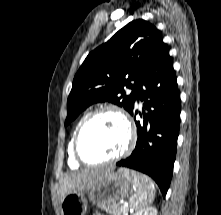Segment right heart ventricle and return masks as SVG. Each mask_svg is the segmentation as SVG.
Listing matches in <instances>:
<instances>
[{
  "label": "right heart ventricle",
  "mask_w": 221,
  "mask_h": 215,
  "mask_svg": "<svg viewBox=\"0 0 221 215\" xmlns=\"http://www.w3.org/2000/svg\"><path fill=\"white\" fill-rule=\"evenodd\" d=\"M89 113L85 114L82 119L78 122V124L76 125L73 133H72V137L70 139V142L68 144V162H69V165L71 167H74V168H77L80 166V163L76 160L75 156H74V153H73V138H74V135L79 127V125L81 124V122L85 119V117L88 115Z\"/></svg>",
  "instance_id": "right-heart-ventricle-1"
}]
</instances>
